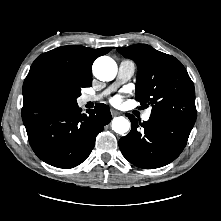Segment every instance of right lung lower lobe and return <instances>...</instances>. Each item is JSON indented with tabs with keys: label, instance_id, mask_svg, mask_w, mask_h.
I'll return each instance as SVG.
<instances>
[{
	"label": "right lung lower lobe",
	"instance_id": "obj_1",
	"mask_svg": "<svg viewBox=\"0 0 221 221\" xmlns=\"http://www.w3.org/2000/svg\"><path fill=\"white\" fill-rule=\"evenodd\" d=\"M82 113L77 103H64L23 120L29 143L44 162L58 168H72L91 153L95 139L111 120L109 108L97 104Z\"/></svg>",
	"mask_w": 221,
	"mask_h": 221
}]
</instances>
